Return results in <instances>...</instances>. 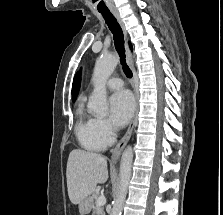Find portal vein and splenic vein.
<instances>
[{"label":"portal vein and splenic vein","mask_w":223,"mask_h":215,"mask_svg":"<svg viewBox=\"0 0 223 215\" xmlns=\"http://www.w3.org/2000/svg\"><path fill=\"white\" fill-rule=\"evenodd\" d=\"M105 203H106V197L102 193V195H100V197H98V199L96 201V205H97V207H100V205H105Z\"/></svg>","instance_id":"obj_1"}]
</instances>
